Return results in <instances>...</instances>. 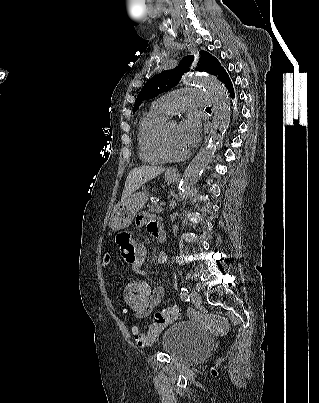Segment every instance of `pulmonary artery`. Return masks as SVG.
Returning <instances> with one entry per match:
<instances>
[{
  "instance_id": "pulmonary-artery-1",
  "label": "pulmonary artery",
  "mask_w": 319,
  "mask_h": 403,
  "mask_svg": "<svg viewBox=\"0 0 319 403\" xmlns=\"http://www.w3.org/2000/svg\"><path fill=\"white\" fill-rule=\"evenodd\" d=\"M208 94L202 90L183 88L158 98L154 103L161 110L173 115L191 107H207Z\"/></svg>"
}]
</instances>
